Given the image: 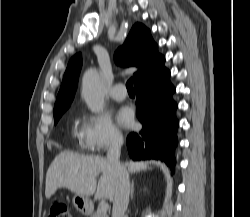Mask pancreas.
I'll return each instance as SVG.
<instances>
[{"label":"pancreas","mask_w":250,"mask_h":217,"mask_svg":"<svg viewBox=\"0 0 250 217\" xmlns=\"http://www.w3.org/2000/svg\"><path fill=\"white\" fill-rule=\"evenodd\" d=\"M91 217H108V215L106 212H101L100 209H98L91 215Z\"/></svg>","instance_id":"obj_1"}]
</instances>
